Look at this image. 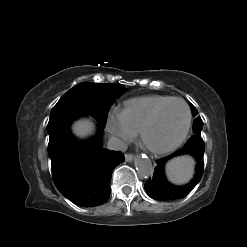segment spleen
Segmentation results:
<instances>
[{"label": "spleen", "mask_w": 247, "mask_h": 247, "mask_svg": "<svg viewBox=\"0 0 247 247\" xmlns=\"http://www.w3.org/2000/svg\"><path fill=\"white\" fill-rule=\"evenodd\" d=\"M195 161L190 156H181L166 164V176L176 185L186 184L193 177Z\"/></svg>", "instance_id": "obj_1"}]
</instances>
